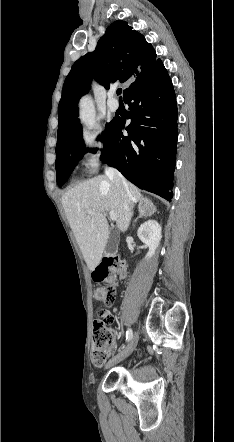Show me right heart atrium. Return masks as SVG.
I'll return each instance as SVG.
<instances>
[{
    "mask_svg": "<svg viewBox=\"0 0 234 442\" xmlns=\"http://www.w3.org/2000/svg\"><path fill=\"white\" fill-rule=\"evenodd\" d=\"M82 144L86 167L90 172L97 171L106 149L104 132L101 129L86 131L82 135Z\"/></svg>",
    "mask_w": 234,
    "mask_h": 442,
    "instance_id": "1",
    "label": "right heart atrium"
}]
</instances>
